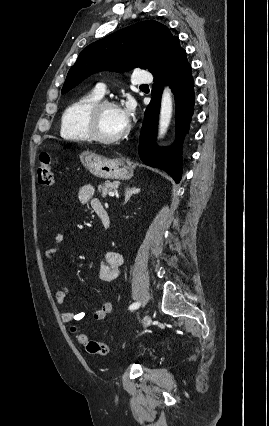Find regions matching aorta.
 <instances>
[{"mask_svg": "<svg viewBox=\"0 0 269 426\" xmlns=\"http://www.w3.org/2000/svg\"><path fill=\"white\" fill-rule=\"evenodd\" d=\"M173 111L172 93L169 87H165L161 99V109L159 118V137L166 134L171 122Z\"/></svg>", "mask_w": 269, "mask_h": 426, "instance_id": "aorta-1", "label": "aorta"}]
</instances>
